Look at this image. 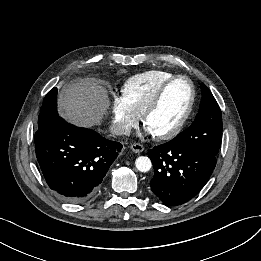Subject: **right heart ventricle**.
<instances>
[{
	"label": "right heart ventricle",
	"instance_id": "e07e8e85",
	"mask_svg": "<svg viewBox=\"0 0 261 261\" xmlns=\"http://www.w3.org/2000/svg\"><path fill=\"white\" fill-rule=\"evenodd\" d=\"M175 74L163 70H150L127 79L121 92L131 108L140 116L159 88Z\"/></svg>",
	"mask_w": 261,
	"mask_h": 261
}]
</instances>
